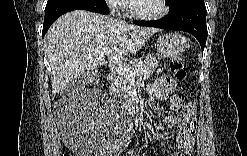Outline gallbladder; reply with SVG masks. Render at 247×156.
<instances>
[{
    "label": "gallbladder",
    "mask_w": 247,
    "mask_h": 156,
    "mask_svg": "<svg viewBox=\"0 0 247 156\" xmlns=\"http://www.w3.org/2000/svg\"><path fill=\"white\" fill-rule=\"evenodd\" d=\"M95 72H97V71L95 70ZM92 73H94V72H92ZM91 76H92L91 74H88L85 77L77 78L76 81L71 83L68 87H66L62 93L65 95L71 94L72 92L77 90L78 86L85 84Z\"/></svg>",
    "instance_id": "gallbladder-1"
}]
</instances>
